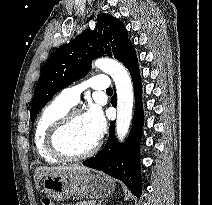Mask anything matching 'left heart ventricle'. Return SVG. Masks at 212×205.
Returning <instances> with one entry per match:
<instances>
[{"label": "left heart ventricle", "instance_id": "b2bd125f", "mask_svg": "<svg viewBox=\"0 0 212 205\" xmlns=\"http://www.w3.org/2000/svg\"><path fill=\"white\" fill-rule=\"evenodd\" d=\"M96 140L85 124L82 115H79L73 118L66 129L62 138V145L68 153L80 154L88 150Z\"/></svg>", "mask_w": 212, "mask_h": 205}]
</instances>
